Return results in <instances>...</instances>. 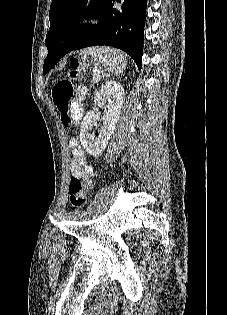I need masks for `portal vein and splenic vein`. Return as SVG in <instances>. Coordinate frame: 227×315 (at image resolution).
<instances>
[{
    "instance_id": "obj_1",
    "label": "portal vein and splenic vein",
    "mask_w": 227,
    "mask_h": 315,
    "mask_svg": "<svg viewBox=\"0 0 227 315\" xmlns=\"http://www.w3.org/2000/svg\"><path fill=\"white\" fill-rule=\"evenodd\" d=\"M93 72H94V73H93V80H94V81H98L99 78H100V76H101L100 70L95 69Z\"/></svg>"
}]
</instances>
